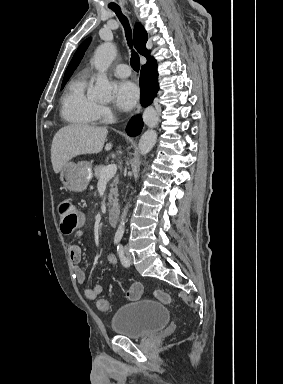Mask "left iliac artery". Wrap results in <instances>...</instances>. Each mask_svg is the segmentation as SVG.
Here are the masks:
<instances>
[{
    "label": "left iliac artery",
    "instance_id": "1",
    "mask_svg": "<svg viewBox=\"0 0 283 384\" xmlns=\"http://www.w3.org/2000/svg\"><path fill=\"white\" fill-rule=\"evenodd\" d=\"M117 253L119 255V258H120V261L122 263L123 266L127 267L128 266V262H127V259L124 255V248L122 245H118L117 246Z\"/></svg>",
    "mask_w": 283,
    "mask_h": 384
}]
</instances>
